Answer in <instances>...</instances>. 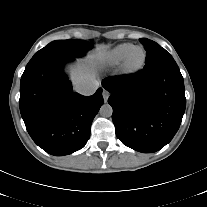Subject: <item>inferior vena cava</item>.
<instances>
[{
	"instance_id": "inferior-vena-cava-1",
	"label": "inferior vena cava",
	"mask_w": 207,
	"mask_h": 207,
	"mask_svg": "<svg viewBox=\"0 0 207 207\" xmlns=\"http://www.w3.org/2000/svg\"><path fill=\"white\" fill-rule=\"evenodd\" d=\"M98 86V81L93 79H86L75 85V91L82 95L89 96L95 93Z\"/></svg>"
}]
</instances>
